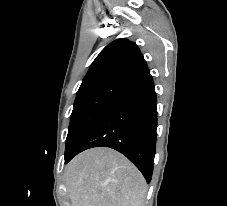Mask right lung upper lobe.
Masks as SVG:
<instances>
[{
    "mask_svg": "<svg viewBox=\"0 0 227 206\" xmlns=\"http://www.w3.org/2000/svg\"><path fill=\"white\" fill-rule=\"evenodd\" d=\"M137 45L125 38L114 40L96 57L80 88L103 80L132 82L149 74Z\"/></svg>",
    "mask_w": 227,
    "mask_h": 206,
    "instance_id": "obj_1",
    "label": "right lung upper lobe"
}]
</instances>
